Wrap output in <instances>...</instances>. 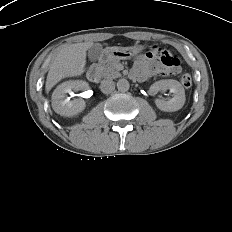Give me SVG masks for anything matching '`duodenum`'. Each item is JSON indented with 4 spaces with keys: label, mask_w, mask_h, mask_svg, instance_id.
Listing matches in <instances>:
<instances>
[{
    "label": "duodenum",
    "mask_w": 232,
    "mask_h": 232,
    "mask_svg": "<svg viewBox=\"0 0 232 232\" xmlns=\"http://www.w3.org/2000/svg\"><path fill=\"white\" fill-rule=\"evenodd\" d=\"M87 78L89 81L95 83L99 79V69L97 65H91L87 70Z\"/></svg>",
    "instance_id": "1"
}]
</instances>
